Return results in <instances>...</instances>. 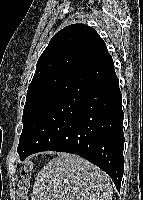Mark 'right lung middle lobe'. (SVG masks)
I'll return each instance as SVG.
<instances>
[{
	"instance_id": "1",
	"label": "right lung middle lobe",
	"mask_w": 143,
	"mask_h": 200,
	"mask_svg": "<svg viewBox=\"0 0 143 200\" xmlns=\"http://www.w3.org/2000/svg\"><path fill=\"white\" fill-rule=\"evenodd\" d=\"M67 75H50L36 81H32L28 87L26 102L23 110V130L19 139V146L23 142L28 128L38 110L54 92V90L67 78Z\"/></svg>"
}]
</instances>
